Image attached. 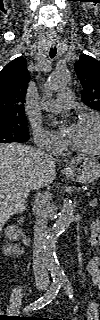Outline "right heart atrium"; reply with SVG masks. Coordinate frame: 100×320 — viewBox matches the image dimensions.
Returning <instances> with one entry per match:
<instances>
[{"mask_svg":"<svg viewBox=\"0 0 100 320\" xmlns=\"http://www.w3.org/2000/svg\"><path fill=\"white\" fill-rule=\"evenodd\" d=\"M32 134L35 144L41 148L57 152L63 147V142L57 136L40 125H33Z\"/></svg>","mask_w":100,"mask_h":320,"instance_id":"right-heart-atrium-1","label":"right heart atrium"}]
</instances>
